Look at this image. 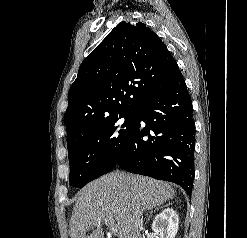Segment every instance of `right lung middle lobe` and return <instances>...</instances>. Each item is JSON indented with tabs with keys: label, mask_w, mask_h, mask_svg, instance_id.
Instances as JSON below:
<instances>
[{
	"label": "right lung middle lobe",
	"mask_w": 247,
	"mask_h": 238,
	"mask_svg": "<svg viewBox=\"0 0 247 238\" xmlns=\"http://www.w3.org/2000/svg\"><path fill=\"white\" fill-rule=\"evenodd\" d=\"M135 123V113L121 114L92 126L69 145L71 185L82 188L110 172L126 146Z\"/></svg>",
	"instance_id": "right-lung-middle-lobe-1"
}]
</instances>
